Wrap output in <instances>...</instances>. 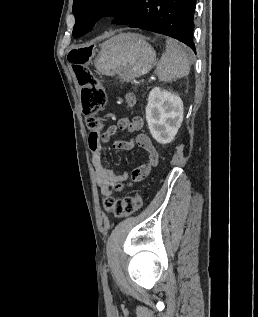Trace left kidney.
<instances>
[{"mask_svg":"<svg viewBox=\"0 0 258 317\" xmlns=\"http://www.w3.org/2000/svg\"><path fill=\"white\" fill-rule=\"evenodd\" d=\"M146 120L157 142H171L183 120V102L180 96L163 90L160 86H154L148 96Z\"/></svg>","mask_w":258,"mask_h":317,"instance_id":"left-kidney-1","label":"left kidney"}]
</instances>
